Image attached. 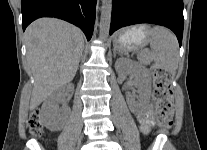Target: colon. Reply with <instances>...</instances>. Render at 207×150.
I'll return each mask as SVG.
<instances>
[{
	"instance_id": "5ec220e1",
	"label": "colon",
	"mask_w": 207,
	"mask_h": 150,
	"mask_svg": "<svg viewBox=\"0 0 207 150\" xmlns=\"http://www.w3.org/2000/svg\"><path fill=\"white\" fill-rule=\"evenodd\" d=\"M155 85V112L157 124L169 128L173 124L172 72L159 64L153 66ZM31 134L40 136L43 131L38 111H33L27 122Z\"/></svg>"
}]
</instances>
